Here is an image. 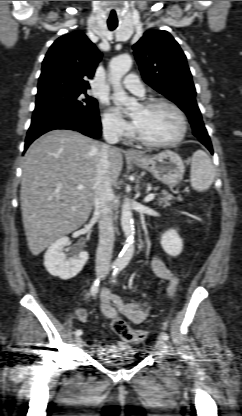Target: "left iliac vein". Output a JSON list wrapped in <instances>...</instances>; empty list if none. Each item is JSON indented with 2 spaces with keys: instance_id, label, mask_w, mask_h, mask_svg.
<instances>
[{
  "instance_id": "4c4485c4",
  "label": "left iliac vein",
  "mask_w": 242,
  "mask_h": 416,
  "mask_svg": "<svg viewBox=\"0 0 242 416\" xmlns=\"http://www.w3.org/2000/svg\"><path fill=\"white\" fill-rule=\"evenodd\" d=\"M156 347L158 350L165 352L167 349V345L165 340L160 336L156 340Z\"/></svg>"
}]
</instances>
